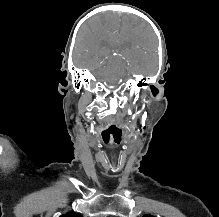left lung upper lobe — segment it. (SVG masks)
Segmentation results:
<instances>
[{"label":"left lung upper lobe","mask_w":219,"mask_h":217,"mask_svg":"<svg viewBox=\"0 0 219 217\" xmlns=\"http://www.w3.org/2000/svg\"><path fill=\"white\" fill-rule=\"evenodd\" d=\"M143 217H154V216H152V215H144Z\"/></svg>","instance_id":"1"}]
</instances>
